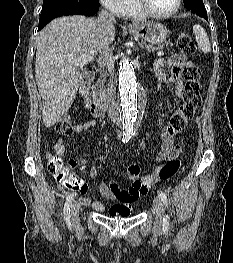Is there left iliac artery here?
<instances>
[{
    "label": "left iliac artery",
    "mask_w": 233,
    "mask_h": 263,
    "mask_svg": "<svg viewBox=\"0 0 233 263\" xmlns=\"http://www.w3.org/2000/svg\"><path fill=\"white\" fill-rule=\"evenodd\" d=\"M159 197L161 198V200L163 201V203L165 204V206L168 205V201H167V196L165 193H163L162 191L159 192ZM163 227L165 229L169 228V216L166 214L165 217L163 218Z\"/></svg>",
    "instance_id": "left-iliac-artery-1"
}]
</instances>
